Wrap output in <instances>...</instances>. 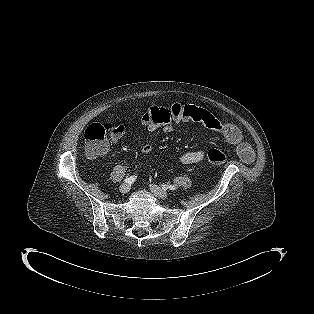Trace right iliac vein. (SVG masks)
<instances>
[{
    "instance_id": "right-iliac-vein-1",
    "label": "right iliac vein",
    "mask_w": 314,
    "mask_h": 314,
    "mask_svg": "<svg viewBox=\"0 0 314 314\" xmlns=\"http://www.w3.org/2000/svg\"><path fill=\"white\" fill-rule=\"evenodd\" d=\"M129 190H130V185L127 184V183H124V184H122V185L119 187V191H120L122 194L127 193Z\"/></svg>"
}]
</instances>
